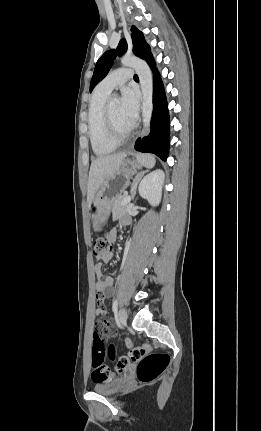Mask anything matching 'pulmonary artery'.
<instances>
[{
	"label": "pulmonary artery",
	"mask_w": 261,
	"mask_h": 431,
	"mask_svg": "<svg viewBox=\"0 0 261 431\" xmlns=\"http://www.w3.org/2000/svg\"><path fill=\"white\" fill-rule=\"evenodd\" d=\"M133 77V70L120 68L108 74L97 86V90L110 94L115 88L123 85Z\"/></svg>",
	"instance_id": "pulmonary-artery-1"
}]
</instances>
